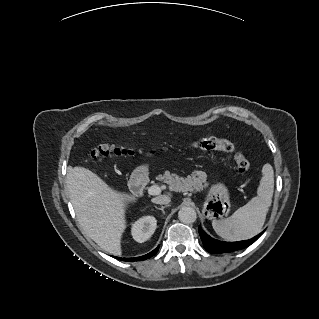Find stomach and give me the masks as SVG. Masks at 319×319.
<instances>
[{
  "instance_id": "obj_1",
  "label": "stomach",
  "mask_w": 319,
  "mask_h": 319,
  "mask_svg": "<svg viewBox=\"0 0 319 319\" xmlns=\"http://www.w3.org/2000/svg\"><path fill=\"white\" fill-rule=\"evenodd\" d=\"M224 194V188L216 186L211 189L210 197L206 203V206L211 214H216L219 216L225 215L228 212V204L225 201Z\"/></svg>"
}]
</instances>
